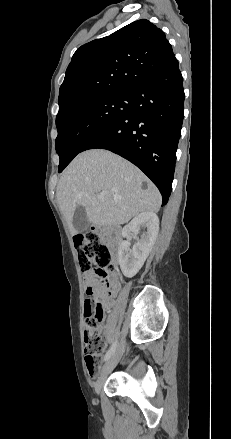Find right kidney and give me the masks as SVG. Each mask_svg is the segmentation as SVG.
Listing matches in <instances>:
<instances>
[{
	"instance_id": "1",
	"label": "right kidney",
	"mask_w": 231,
	"mask_h": 439,
	"mask_svg": "<svg viewBox=\"0 0 231 439\" xmlns=\"http://www.w3.org/2000/svg\"><path fill=\"white\" fill-rule=\"evenodd\" d=\"M146 228L140 239L130 249V242L123 241L118 250V262L124 276H135L143 266L152 250L159 231V219L155 213L144 212L135 216L122 230V236L128 237L130 233L138 234L140 228Z\"/></svg>"
}]
</instances>
